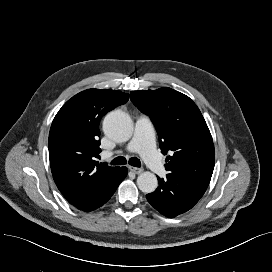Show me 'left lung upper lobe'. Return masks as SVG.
I'll use <instances>...</instances> for the list:
<instances>
[{
    "mask_svg": "<svg viewBox=\"0 0 272 272\" xmlns=\"http://www.w3.org/2000/svg\"><path fill=\"white\" fill-rule=\"evenodd\" d=\"M131 100L153 121L169 173L210 182L215 150L208 126L186 95L171 88L132 91Z\"/></svg>",
    "mask_w": 272,
    "mask_h": 272,
    "instance_id": "left-lung-upper-lobe-1",
    "label": "left lung upper lobe"
}]
</instances>
